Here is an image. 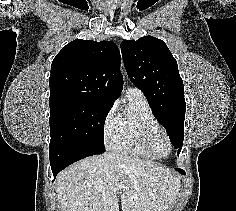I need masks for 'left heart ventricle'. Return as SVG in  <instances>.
Instances as JSON below:
<instances>
[{
  "label": "left heart ventricle",
  "mask_w": 236,
  "mask_h": 211,
  "mask_svg": "<svg viewBox=\"0 0 236 211\" xmlns=\"http://www.w3.org/2000/svg\"><path fill=\"white\" fill-rule=\"evenodd\" d=\"M152 144L155 151L159 154L165 155L169 151L168 142L161 133H158L153 137Z\"/></svg>",
  "instance_id": "1"
}]
</instances>
